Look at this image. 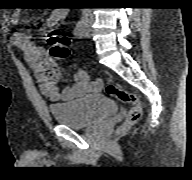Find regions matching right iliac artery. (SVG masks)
I'll list each match as a JSON object with an SVG mask.
<instances>
[{
  "label": "right iliac artery",
  "instance_id": "right-iliac-artery-1",
  "mask_svg": "<svg viewBox=\"0 0 192 180\" xmlns=\"http://www.w3.org/2000/svg\"><path fill=\"white\" fill-rule=\"evenodd\" d=\"M84 27H85L84 19L79 20L76 27H75V29H74V35L77 38H82L83 37Z\"/></svg>",
  "mask_w": 192,
  "mask_h": 180
}]
</instances>
